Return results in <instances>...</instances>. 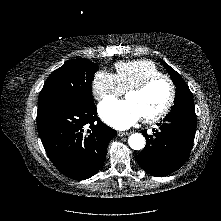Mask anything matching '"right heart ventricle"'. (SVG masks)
<instances>
[{
    "label": "right heart ventricle",
    "mask_w": 221,
    "mask_h": 221,
    "mask_svg": "<svg viewBox=\"0 0 221 221\" xmlns=\"http://www.w3.org/2000/svg\"><path fill=\"white\" fill-rule=\"evenodd\" d=\"M114 68L115 76L123 90H128L151 76L162 74L149 60L119 61Z\"/></svg>",
    "instance_id": "e07e8e85"
}]
</instances>
